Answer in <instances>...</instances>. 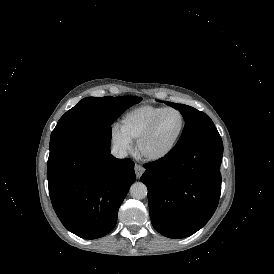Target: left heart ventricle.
<instances>
[{
  "mask_svg": "<svg viewBox=\"0 0 274 274\" xmlns=\"http://www.w3.org/2000/svg\"><path fill=\"white\" fill-rule=\"evenodd\" d=\"M181 126L182 117L178 112L165 113L153 132L144 141L143 151L152 156L162 154L170 147Z\"/></svg>",
  "mask_w": 274,
  "mask_h": 274,
  "instance_id": "1",
  "label": "left heart ventricle"
}]
</instances>
